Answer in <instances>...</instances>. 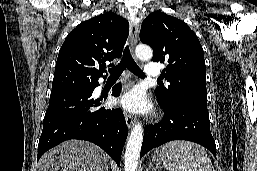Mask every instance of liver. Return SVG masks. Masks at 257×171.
I'll return each instance as SVG.
<instances>
[{
	"instance_id": "liver-1",
	"label": "liver",
	"mask_w": 257,
	"mask_h": 171,
	"mask_svg": "<svg viewBox=\"0 0 257 171\" xmlns=\"http://www.w3.org/2000/svg\"><path fill=\"white\" fill-rule=\"evenodd\" d=\"M108 156L98 146L80 140H68L46 152L38 171H106Z\"/></svg>"
}]
</instances>
